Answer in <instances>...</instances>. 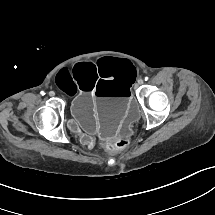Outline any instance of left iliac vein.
Segmentation results:
<instances>
[{"instance_id": "4c4485c4", "label": "left iliac vein", "mask_w": 215, "mask_h": 215, "mask_svg": "<svg viewBox=\"0 0 215 215\" xmlns=\"http://www.w3.org/2000/svg\"><path fill=\"white\" fill-rule=\"evenodd\" d=\"M143 84V80L142 79H139L138 80V85H142Z\"/></svg>"}]
</instances>
